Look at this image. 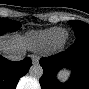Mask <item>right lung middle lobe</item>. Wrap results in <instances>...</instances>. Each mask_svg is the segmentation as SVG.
<instances>
[{
  "mask_svg": "<svg viewBox=\"0 0 89 89\" xmlns=\"http://www.w3.org/2000/svg\"><path fill=\"white\" fill-rule=\"evenodd\" d=\"M21 27V24L16 21H11L7 19H0V34L5 32L16 31Z\"/></svg>",
  "mask_w": 89,
  "mask_h": 89,
  "instance_id": "dd1d6c3e",
  "label": "right lung middle lobe"
}]
</instances>
